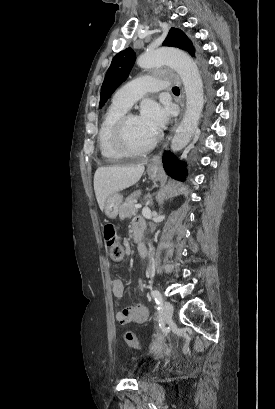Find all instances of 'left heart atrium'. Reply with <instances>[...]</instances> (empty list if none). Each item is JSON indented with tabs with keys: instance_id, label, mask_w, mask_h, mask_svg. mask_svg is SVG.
<instances>
[{
	"instance_id": "obj_1",
	"label": "left heart atrium",
	"mask_w": 275,
	"mask_h": 409,
	"mask_svg": "<svg viewBox=\"0 0 275 409\" xmlns=\"http://www.w3.org/2000/svg\"><path fill=\"white\" fill-rule=\"evenodd\" d=\"M139 118L154 136L158 135L167 123V113L154 102H147L143 105Z\"/></svg>"
}]
</instances>
